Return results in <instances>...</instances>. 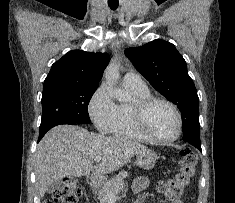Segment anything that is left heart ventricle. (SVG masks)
<instances>
[{
    "label": "left heart ventricle",
    "instance_id": "left-heart-ventricle-1",
    "mask_svg": "<svg viewBox=\"0 0 235 203\" xmlns=\"http://www.w3.org/2000/svg\"><path fill=\"white\" fill-rule=\"evenodd\" d=\"M148 131L159 138H169L176 133L177 119L174 111L165 103H155L145 115Z\"/></svg>",
    "mask_w": 235,
    "mask_h": 203
}]
</instances>
